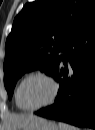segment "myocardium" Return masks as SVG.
Segmentation results:
<instances>
[{
  "mask_svg": "<svg viewBox=\"0 0 95 130\" xmlns=\"http://www.w3.org/2000/svg\"><path fill=\"white\" fill-rule=\"evenodd\" d=\"M33 77H41V78L46 79L52 87V93H51L50 98L45 103H43L37 107H34V108H28L21 104L19 95H20V90H21V87L23 86V84L27 80H29L30 78H33ZM58 90H59L58 83L50 74L43 72V71H35V72H32V73L28 74L27 76H25L19 83V85L16 89V92H15V102L20 109L27 111V112H34V111H37L39 109H42V108L52 104L57 97Z\"/></svg>",
  "mask_w": 95,
  "mask_h": 130,
  "instance_id": "myocardium-1",
  "label": "myocardium"
}]
</instances>
